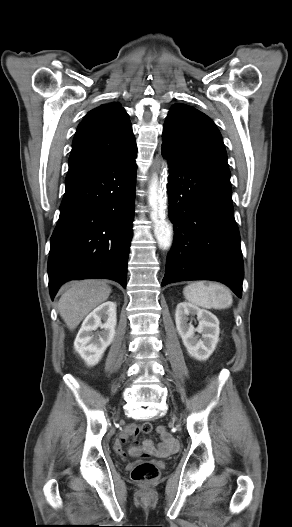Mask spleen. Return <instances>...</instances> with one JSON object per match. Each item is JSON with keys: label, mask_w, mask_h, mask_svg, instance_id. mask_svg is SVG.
Segmentation results:
<instances>
[{"label": "spleen", "mask_w": 292, "mask_h": 527, "mask_svg": "<svg viewBox=\"0 0 292 527\" xmlns=\"http://www.w3.org/2000/svg\"><path fill=\"white\" fill-rule=\"evenodd\" d=\"M184 297L190 303L207 309H226L232 305L230 290L218 283L198 281L183 289Z\"/></svg>", "instance_id": "1"}]
</instances>
